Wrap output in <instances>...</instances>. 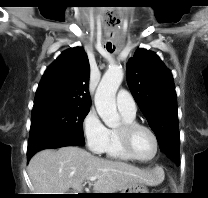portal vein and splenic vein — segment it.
Masks as SVG:
<instances>
[{"mask_svg":"<svg viewBox=\"0 0 208 198\" xmlns=\"http://www.w3.org/2000/svg\"><path fill=\"white\" fill-rule=\"evenodd\" d=\"M88 180L93 182L96 180V177H90V178H88Z\"/></svg>","mask_w":208,"mask_h":198,"instance_id":"1","label":"portal vein and splenic vein"}]
</instances>
